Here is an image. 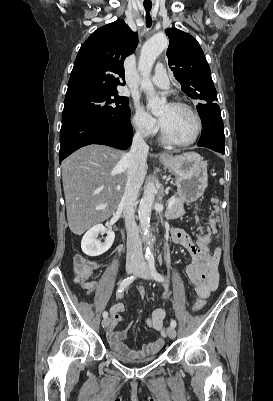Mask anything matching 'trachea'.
<instances>
[{
	"label": "trachea",
	"mask_w": 273,
	"mask_h": 401,
	"mask_svg": "<svg viewBox=\"0 0 273 401\" xmlns=\"http://www.w3.org/2000/svg\"><path fill=\"white\" fill-rule=\"evenodd\" d=\"M144 8L146 10V26L150 27L151 24H152V20H151V17H150V10L152 8V5H144Z\"/></svg>",
	"instance_id": "obj_1"
}]
</instances>
